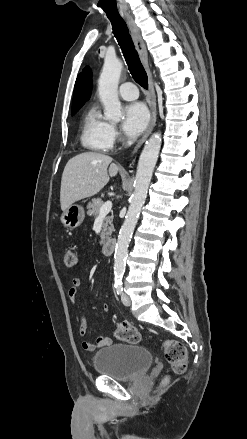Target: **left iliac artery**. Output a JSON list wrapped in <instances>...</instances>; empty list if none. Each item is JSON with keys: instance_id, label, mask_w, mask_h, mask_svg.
Instances as JSON below:
<instances>
[{"instance_id": "1", "label": "left iliac artery", "mask_w": 247, "mask_h": 439, "mask_svg": "<svg viewBox=\"0 0 247 439\" xmlns=\"http://www.w3.org/2000/svg\"><path fill=\"white\" fill-rule=\"evenodd\" d=\"M115 288L118 295L122 293L123 291L122 283L115 284Z\"/></svg>"}]
</instances>
